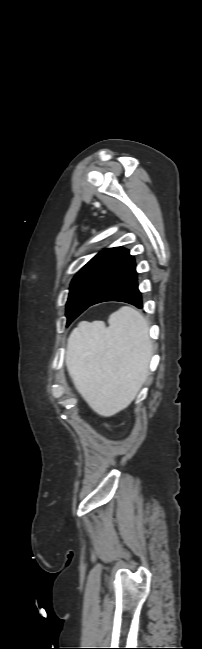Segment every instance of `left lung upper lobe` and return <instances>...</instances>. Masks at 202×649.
Listing matches in <instances>:
<instances>
[{
  "instance_id": "obj_1",
  "label": "left lung upper lobe",
  "mask_w": 202,
  "mask_h": 649,
  "mask_svg": "<svg viewBox=\"0 0 202 649\" xmlns=\"http://www.w3.org/2000/svg\"><path fill=\"white\" fill-rule=\"evenodd\" d=\"M128 256L129 250L122 247L102 250L74 276L66 304L67 325L87 308Z\"/></svg>"
}]
</instances>
